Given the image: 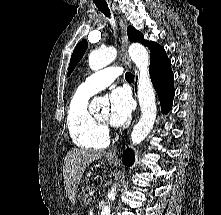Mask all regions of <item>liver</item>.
Masks as SVG:
<instances>
[{
  "label": "liver",
  "mask_w": 221,
  "mask_h": 215,
  "mask_svg": "<svg viewBox=\"0 0 221 215\" xmlns=\"http://www.w3.org/2000/svg\"><path fill=\"white\" fill-rule=\"evenodd\" d=\"M104 155V152L95 150L74 148L68 151L63 165V177L66 194L72 204H75L77 188L87 165Z\"/></svg>",
  "instance_id": "liver-1"
}]
</instances>
